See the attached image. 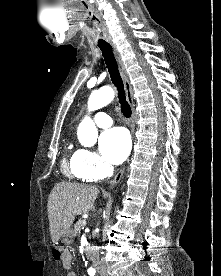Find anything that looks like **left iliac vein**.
Returning <instances> with one entry per match:
<instances>
[{"label":"left iliac vein","instance_id":"4c4485c4","mask_svg":"<svg viewBox=\"0 0 221 276\" xmlns=\"http://www.w3.org/2000/svg\"><path fill=\"white\" fill-rule=\"evenodd\" d=\"M100 276H108V275L106 273H104V272H101Z\"/></svg>","mask_w":221,"mask_h":276}]
</instances>
